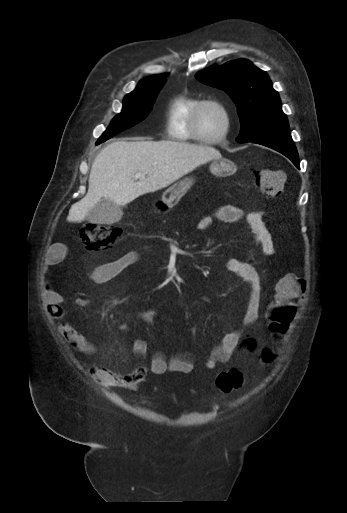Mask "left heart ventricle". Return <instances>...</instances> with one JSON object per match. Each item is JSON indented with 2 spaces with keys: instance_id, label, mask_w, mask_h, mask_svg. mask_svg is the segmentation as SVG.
Wrapping results in <instances>:
<instances>
[{
  "instance_id": "b2bd125f",
  "label": "left heart ventricle",
  "mask_w": 347,
  "mask_h": 513,
  "mask_svg": "<svg viewBox=\"0 0 347 513\" xmlns=\"http://www.w3.org/2000/svg\"><path fill=\"white\" fill-rule=\"evenodd\" d=\"M225 127V117L222 111L215 105L205 106L198 116V129L206 138L219 136Z\"/></svg>"
}]
</instances>
